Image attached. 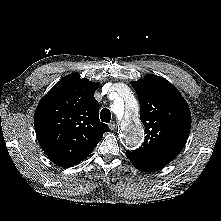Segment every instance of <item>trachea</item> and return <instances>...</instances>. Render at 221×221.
<instances>
[{"label": "trachea", "instance_id": "3493384b", "mask_svg": "<svg viewBox=\"0 0 221 221\" xmlns=\"http://www.w3.org/2000/svg\"><path fill=\"white\" fill-rule=\"evenodd\" d=\"M100 118L103 122H106V123L110 122L111 113H110L109 109H107V108L102 109L100 112Z\"/></svg>", "mask_w": 221, "mask_h": 221}]
</instances>
